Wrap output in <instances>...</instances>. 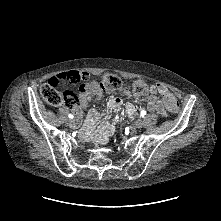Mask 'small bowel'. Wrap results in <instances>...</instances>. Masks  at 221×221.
Listing matches in <instances>:
<instances>
[{"label": "small bowel", "instance_id": "c3829d8e", "mask_svg": "<svg viewBox=\"0 0 221 221\" xmlns=\"http://www.w3.org/2000/svg\"><path fill=\"white\" fill-rule=\"evenodd\" d=\"M89 73L78 72L72 70L70 72H62L55 76H50L47 84L50 87L58 88L61 83L71 82L76 84L81 81H86L79 86V95L77 103L72 106V111L80 117L82 115V108L86 107L91 100H98L102 93L100 84L96 81L89 80ZM152 96L148 102V109L151 113L161 116H167V111H171L167 105L166 98L174 97L165 85L156 84L151 86ZM124 95H129L126 88L122 89ZM175 98V97H174ZM123 101L120 97L111 96L107 101L106 112L107 115L102 118L101 114L92 109L89 111L86 120V134L97 145H106L110 137L114 134V122L110 121L111 115L117 112ZM125 111L129 116L136 112L135 106L128 102L125 104ZM117 119V117H116Z\"/></svg>", "mask_w": 221, "mask_h": 221}]
</instances>
